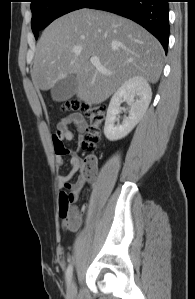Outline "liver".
<instances>
[{"instance_id":"obj_1","label":"liver","mask_w":195,"mask_h":299,"mask_svg":"<svg viewBox=\"0 0 195 299\" xmlns=\"http://www.w3.org/2000/svg\"><path fill=\"white\" fill-rule=\"evenodd\" d=\"M159 41L124 17L83 8L53 21L37 43L31 78L47 91L75 75L77 97L88 105L104 102L125 81L141 76L156 83L163 67ZM98 57L107 73L90 63Z\"/></svg>"}]
</instances>
